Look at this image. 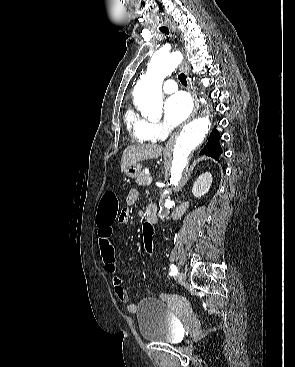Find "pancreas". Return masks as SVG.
Wrapping results in <instances>:
<instances>
[{
  "label": "pancreas",
  "instance_id": "obj_1",
  "mask_svg": "<svg viewBox=\"0 0 295 367\" xmlns=\"http://www.w3.org/2000/svg\"><path fill=\"white\" fill-rule=\"evenodd\" d=\"M150 177H151L150 174H145L141 172L136 179V183L140 186H147L148 185L147 181Z\"/></svg>",
  "mask_w": 295,
  "mask_h": 367
}]
</instances>
